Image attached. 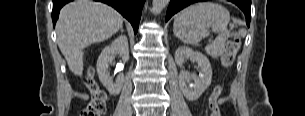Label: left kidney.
Segmentation results:
<instances>
[{
	"instance_id": "5707ae66",
	"label": "left kidney",
	"mask_w": 305,
	"mask_h": 116,
	"mask_svg": "<svg viewBox=\"0 0 305 116\" xmlns=\"http://www.w3.org/2000/svg\"><path fill=\"white\" fill-rule=\"evenodd\" d=\"M186 58H190L192 62H196L200 67L199 75H189L185 71H181L179 75V86L189 101L197 100L207 87L211 84L212 68L208 58L199 51H194L189 47H179L175 52V62L178 66H182ZM194 83L191 84L190 81Z\"/></svg>"
}]
</instances>
